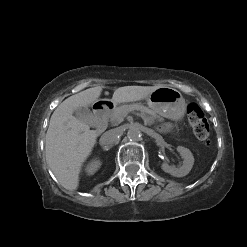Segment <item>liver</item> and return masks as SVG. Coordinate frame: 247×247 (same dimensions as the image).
<instances>
[{
	"instance_id": "1",
	"label": "liver",
	"mask_w": 247,
	"mask_h": 247,
	"mask_svg": "<svg viewBox=\"0 0 247 247\" xmlns=\"http://www.w3.org/2000/svg\"><path fill=\"white\" fill-rule=\"evenodd\" d=\"M162 87L124 86L115 89L113 103L135 102L147 98ZM103 87L96 86L65 99L53 112L46 133V161L60 184L67 190H76L83 163L96 144L97 133L73 116L79 107H88L98 101Z\"/></svg>"
}]
</instances>
